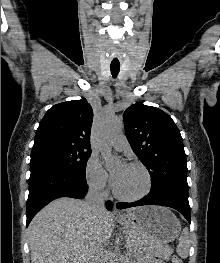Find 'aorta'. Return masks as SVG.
I'll return each mask as SVG.
<instances>
[{
  "label": "aorta",
  "mask_w": 220,
  "mask_h": 263,
  "mask_svg": "<svg viewBox=\"0 0 220 263\" xmlns=\"http://www.w3.org/2000/svg\"><path fill=\"white\" fill-rule=\"evenodd\" d=\"M122 128L123 121L118 117H107L101 126L99 149L107 167H111L116 162V158L112 155L111 141Z\"/></svg>",
  "instance_id": "aorta-1"
}]
</instances>
